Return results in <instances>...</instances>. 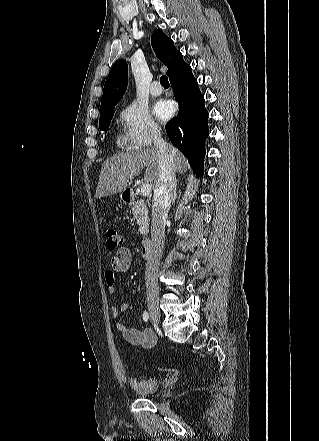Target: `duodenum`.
Wrapping results in <instances>:
<instances>
[{"label":"duodenum","mask_w":319,"mask_h":441,"mask_svg":"<svg viewBox=\"0 0 319 441\" xmlns=\"http://www.w3.org/2000/svg\"><path fill=\"white\" fill-rule=\"evenodd\" d=\"M123 198H124L125 202L132 203L134 200V194L130 190H125L123 193ZM153 251H154L153 241L150 239L143 240L142 246H141L142 257L146 260L151 259Z\"/></svg>","instance_id":"1"}]
</instances>
